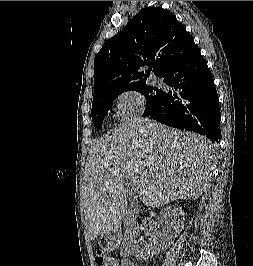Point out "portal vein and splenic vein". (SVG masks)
<instances>
[{
  "instance_id": "1",
  "label": "portal vein and splenic vein",
  "mask_w": 253,
  "mask_h": 266,
  "mask_svg": "<svg viewBox=\"0 0 253 266\" xmlns=\"http://www.w3.org/2000/svg\"><path fill=\"white\" fill-rule=\"evenodd\" d=\"M129 181H130L131 183H133L134 186H136V185L141 186V184L139 183V179L136 178V177H130V178H129Z\"/></svg>"
}]
</instances>
